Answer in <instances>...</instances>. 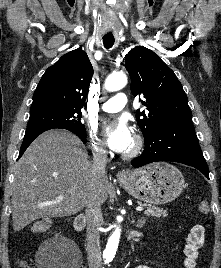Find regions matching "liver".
<instances>
[{"mask_svg": "<svg viewBox=\"0 0 221 268\" xmlns=\"http://www.w3.org/2000/svg\"><path fill=\"white\" fill-rule=\"evenodd\" d=\"M104 203L112 189L107 176L100 179ZM92 188V163L81 141L65 130L38 136L15 165L12 184L14 231L45 217H65L85 207ZM58 197H63L59 200Z\"/></svg>", "mask_w": 221, "mask_h": 268, "instance_id": "liver-1", "label": "liver"}]
</instances>
